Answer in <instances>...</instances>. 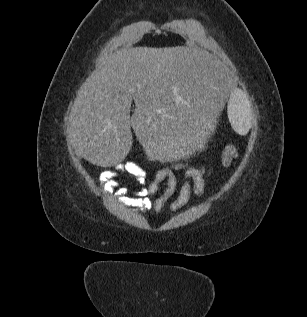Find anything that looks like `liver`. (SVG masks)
<instances>
[{
  "label": "liver",
  "instance_id": "6515ba94",
  "mask_svg": "<svg viewBox=\"0 0 307 317\" xmlns=\"http://www.w3.org/2000/svg\"><path fill=\"white\" fill-rule=\"evenodd\" d=\"M232 87L223 63L189 47L123 50L78 92L68 140L77 155L103 167L126 157L131 127L147 159H160L161 154L179 158L196 148L211 153L212 142H220L221 136L205 137L203 129L215 125L214 116L229 103ZM193 140L197 143L186 142Z\"/></svg>",
  "mask_w": 307,
  "mask_h": 317
}]
</instances>
